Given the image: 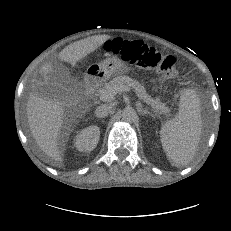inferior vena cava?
Returning <instances> with one entry per match:
<instances>
[{"mask_svg":"<svg viewBox=\"0 0 231 231\" xmlns=\"http://www.w3.org/2000/svg\"><path fill=\"white\" fill-rule=\"evenodd\" d=\"M111 108L110 104H102L96 108L95 114L99 118H105L111 112Z\"/></svg>","mask_w":231,"mask_h":231,"instance_id":"inferior-vena-cava-1","label":"inferior vena cava"}]
</instances>
